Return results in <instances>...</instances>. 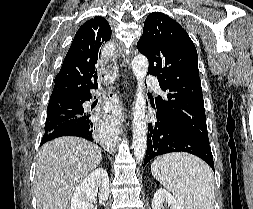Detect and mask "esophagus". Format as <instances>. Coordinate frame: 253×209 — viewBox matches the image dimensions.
Returning a JSON list of instances; mask_svg holds the SVG:
<instances>
[{"label": "esophagus", "mask_w": 253, "mask_h": 209, "mask_svg": "<svg viewBox=\"0 0 253 209\" xmlns=\"http://www.w3.org/2000/svg\"><path fill=\"white\" fill-rule=\"evenodd\" d=\"M106 116H108L112 123L119 124L122 119V111L120 104L117 102L115 104H112L111 107L107 108L106 110Z\"/></svg>", "instance_id": "1"}]
</instances>
